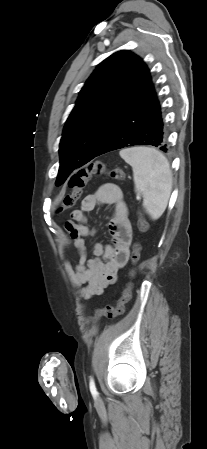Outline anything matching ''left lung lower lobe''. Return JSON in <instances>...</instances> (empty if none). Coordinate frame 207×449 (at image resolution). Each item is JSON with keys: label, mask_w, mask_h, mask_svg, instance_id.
Instances as JSON below:
<instances>
[{"label": "left lung lower lobe", "mask_w": 207, "mask_h": 449, "mask_svg": "<svg viewBox=\"0 0 207 449\" xmlns=\"http://www.w3.org/2000/svg\"><path fill=\"white\" fill-rule=\"evenodd\" d=\"M133 145H152L167 152L162 109L153 84L137 105L110 132L95 157Z\"/></svg>", "instance_id": "0a47b994"}]
</instances>
